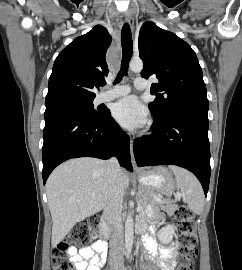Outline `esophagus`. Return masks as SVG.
Segmentation results:
<instances>
[{"mask_svg":"<svg viewBox=\"0 0 242 270\" xmlns=\"http://www.w3.org/2000/svg\"><path fill=\"white\" fill-rule=\"evenodd\" d=\"M125 20L129 24L130 28L133 29L134 28V18L129 11L125 12ZM130 151H131L132 165H133V167H136V162H135V158H134V154H133V140L132 139H130Z\"/></svg>","mask_w":242,"mask_h":270,"instance_id":"obj_1","label":"esophagus"}]
</instances>
